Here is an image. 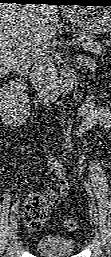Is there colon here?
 <instances>
[{
    "label": "colon",
    "mask_w": 111,
    "mask_h": 257,
    "mask_svg": "<svg viewBox=\"0 0 111 257\" xmlns=\"http://www.w3.org/2000/svg\"><path fill=\"white\" fill-rule=\"evenodd\" d=\"M64 226L68 231H73L76 229L77 223L73 219H68L65 221Z\"/></svg>",
    "instance_id": "colon-1"
}]
</instances>
